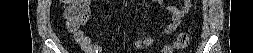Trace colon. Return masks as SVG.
Listing matches in <instances>:
<instances>
[{"instance_id":"colon-1","label":"colon","mask_w":253,"mask_h":53,"mask_svg":"<svg viewBox=\"0 0 253 53\" xmlns=\"http://www.w3.org/2000/svg\"><path fill=\"white\" fill-rule=\"evenodd\" d=\"M87 1H73L66 9L67 25L70 31H76L84 25L89 17V9L86 5ZM190 35L187 32L180 33L176 40L165 47V53H172L174 50L184 49L188 46ZM136 48L146 46L144 40H136L134 42Z\"/></svg>"}]
</instances>
